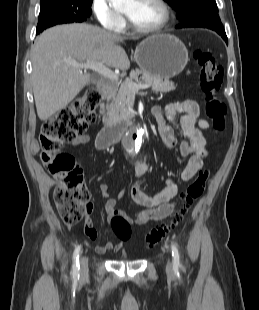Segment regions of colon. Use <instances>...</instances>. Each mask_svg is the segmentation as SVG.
I'll return each instance as SVG.
<instances>
[{"instance_id":"1","label":"colon","mask_w":259,"mask_h":310,"mask_svg":"<svg viewBox=\"0 0 259 310\" xmlns=\"http://www.w3.org/2000/svg\"><path fill=\"white\" fill-rule=\"evenodd\" d=\"M193 55L205 97V113L211 120L213 129L220 133L226 126V106L218 97L223 77L222 66L209 50L196 48ZM99 100V93L95 89H87L42 125V161L49 173L61 182L55 191V202L62 221L67 225L79 223L92 208V203L91 194L83 182L82 170L75 158L62 150L63 145L84 135L88 127L96 122L95 110ZM209 176L208 170L198 173L181 194V209L168 222L147 233L145 242L148 247L159 243L178 226L188 208L202 194ZM111 228L121 241H127L131 237L130 223L122 215L116 214L111 218Z\"/></svg>"}]
</instances>
